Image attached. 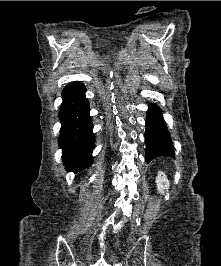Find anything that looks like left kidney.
Wrapping results in <instances>:
<instances>
[{
	"label": "left kidney",
	"instance_id": "1",
	"mask_svg": "<svg viewBox=\"0 0 221 266\" xmlns=\"http://www.w3.org/2000/svg\"><path fill=\"white\" fill-rule=\"evenodd\" d=\"M156 184H157V189L159 191V193L164 194L165 191H168L169 189V180L166 176L165 173H163L162 171L158 172V175L156 177Z\"/></svg>",
	"mask_w": 221,
	"mask_h": 266
}]
</instances>
